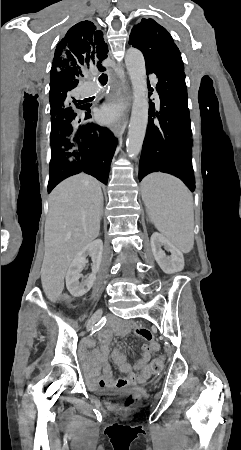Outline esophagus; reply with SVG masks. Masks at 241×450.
Here are the masks:
<instances>
[{"mask_svg":"<svg viewBox=\"0 0 241 450\" xmlns=\"http://www.w3.org/2000/svg\"><path fill=\"white\" fill-rule=\"evenodd\" d=\"M126 90L127 87L123 85L120 81L114 82L113 87L111 89L110 101L111 102L118 101L122 104V106L119 109L120 118L115 123H113V125H111V130L115 136H119L123 124V116H124L123 102L126 97Z\"/></svg>","mask_w":241,"mask_h":450,"instance_id":"1","label":"esophagus"}]
</instances>
